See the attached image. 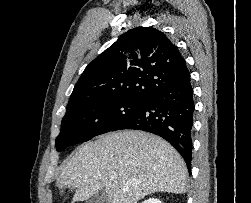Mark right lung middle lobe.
<instances>
[{"label":"right lung middle lobe","instance_id":"dd1d6c3e","mask_svg":"<svg viewBox=\"0 0 251 203\" xmlns=\"http://www.w3.org/2000/svg\"><path fill=\"white\" fill-rule=\"evenodd\" d=\"M143 104V101L112 99L92 100L67 106L61 132L55 141L57 151L110 132Z\"/></svg>","mask_w":251,"mask_h":203}]
</instances>
